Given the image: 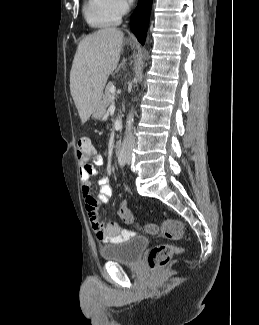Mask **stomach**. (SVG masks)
<instances>
[{
	"label": "stomach",
	"instance_id": "stomach-1",
	"mask_svg": "<svg viewBox=\"0 0 259 325\" xmlns=\"http://www.w3.org/2000/svg\"><path fill=\"white\" fill-rule=\"evenodd\" d=\"M106 112V106L104 105L103 101H100L92 112V117L94 119H101Z\"/></svg>",
	"mask_w": 259,
	"mask_h": 325
}]
</instances>
